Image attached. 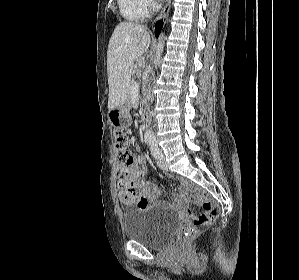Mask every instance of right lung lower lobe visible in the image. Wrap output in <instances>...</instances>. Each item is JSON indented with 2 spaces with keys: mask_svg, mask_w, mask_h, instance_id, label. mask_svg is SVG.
Returning a JSON list of instances; mask_svg holds the SVG:
<instances>
[{
  "mask_svg": "<svg viewBox=\"0 0 299 280\" xmlns=\"http://www.w3.org/2000/svg\"><path fill=\"white\" fill-rule=\"evenodd\" d=\"M156 29H155V35L156 37H158L162 27H163V22L162 21H158L155 25Z\"/></svg>",
  "mask_w": 299,
  "mask_h": 280,
  "instance_id": "1",
  "label": "right lung lower lobe"
}]
</instances>
